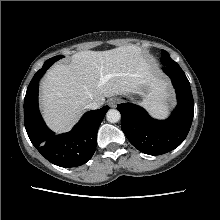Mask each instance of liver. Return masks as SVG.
Wrapping results in <instances>:
<instances>
[{"mask_svg": "<svg viewBox=\"0 0 220 220\" xmlns=\"http://www.w3.org/2000/svg\"><path fill=\"white\" fill-rule=\"evenodd\" d=\"M151 82L150 66L135 45L106 51H81L70 64L53 66L41 83V106L47 125L58 133L69 131L93 101L135 93ZM156 95H167L165 84Z\"/></svg>", "mask_w": 220, "mask_h": 220, "instance_id": "liver-1", "label": "liver"}]
</instances>
